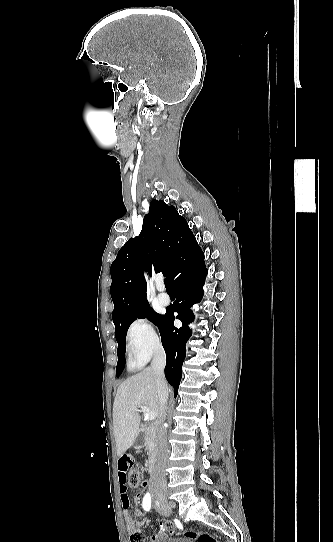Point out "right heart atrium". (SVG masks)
<instances>
[{
  "mask_svg": "<svg viewBox=\"0 0 333 542\" xmlns=\"http://www.w3.org/2000/svg\"><path fill=\"white\" fill-rule=\"evenodd\" d=\"M128 346L141 353L144 357H151L160 348V336L155 325L146 318L137 319L127 333Z\"/></svg>",
  "mask_w": 333,
  "mask_h": 542,
  "instance_id": "obj_1",
  "label": "right heart atrium"
}]
</instances>
